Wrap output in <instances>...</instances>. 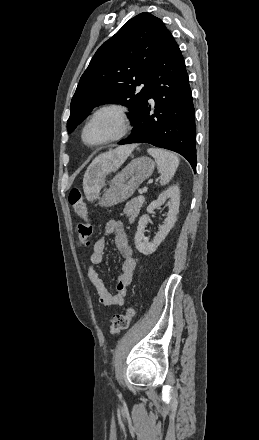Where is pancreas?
<instances>
[{"label":"pancreas","mask_w":259,"mask_h":440,"mask_svg":"<svg viewBox=\"0 0 259 440\" xmlns=\"http://www.w3.org/2000/svg\"><path fill=\"white\" fill-rule=\"evenodd\" d=\"M144 201L141 202L138 200V198H133L129 202L126 203V206L124 208V213L127 217H129L130 220H134L135 217H137Z\"/></svg>","instance_id":"1"}]
</instances>
